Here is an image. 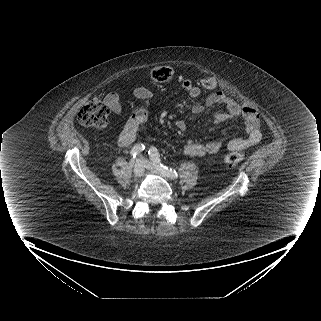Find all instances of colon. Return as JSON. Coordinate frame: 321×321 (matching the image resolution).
<instances>
[{"label": "colon", "mask_w": 321, "mask_h": 321, "mask_svg": "<svg viewBox=\"0 0 321 321\" xmlns=\"http://www.w3.org/2000/svg\"><path fill=\"white\" fill-rule=\"evenodd\" d=\"M173 76V70L169 66H158L151 71V78L155 82H167ZM199 84L205 89L212 90L216 88L217 81L213 77L197 79ZM110 108L106 101L99 96L91 97L80 109L78 113V121L89 127H103L107 124ZM245 158L243 152H230L224 156L223 162L227 166H234L241 163Z\"/></svg>", "instance_id": "5ec220e1"}]
</instances>
